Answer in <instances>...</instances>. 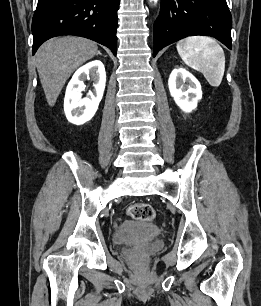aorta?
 Instances as JSON below:
<instances>
[{
	"instance_id": "1",
	"label": "aorta",
	"mask_w": 261,
	"mask_h": 306,
	"mask_svg": "<svg viewBox=\"0 0 261 306\" xmlns=\"http://www.w3.org/2000/svg\"><path fill=\"white\" fill-rule=\"evenodd\" d=\"M157 1H158V0H150V2H154V3H157Z\"/></svg>"
}]
</instances>
